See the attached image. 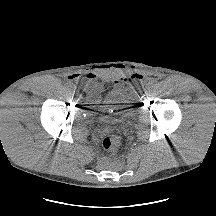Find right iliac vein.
I'll return each instance as SVG.
<instances>
[{
	"label": "right iliac vein",
	"instance_id": "63e3f726",
	"mask_svg": "<svg viewBox=\"0 0 216 216\" xmlns=\"http://www.w3.org/2000/svg\"><path fill=\"white\" fill-rule=\"evenodd\" d=\"M71 94H77V89H73V91H71Z\"/></svg>",
	"mask_w": 216,
	"mask_h": 216
}]
</instances>
